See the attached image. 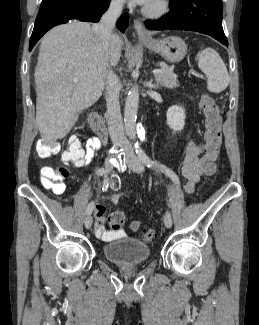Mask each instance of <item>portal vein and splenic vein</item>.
<instances>
[{
	"mask_svg": "<svg viewBox=\"0 0 259 325\" xmlns=\"http://www.w3.org/2000/svg\"><path fill=\"white\" fill-rule=\"evenodd\" d=\"M153 73L154 74H159V73H161V70L160 69H154ZM77 81H78L77 79H74V82H77Z\"/></svg>",
	"mask_w": 259,
	"mask_h": 325,
	"instance_id": "1",
	"label": "portal vein and splenic vein"
}]
</instances>
